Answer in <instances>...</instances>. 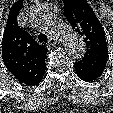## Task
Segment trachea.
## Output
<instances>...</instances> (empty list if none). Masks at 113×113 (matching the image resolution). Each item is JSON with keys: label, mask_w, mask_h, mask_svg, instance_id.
I'll return each instance as SVG.
<instances>
[{"label": "trachea", "mask_w": 113, "mask_h": 113, "mask_svg": "<svg viewBox=\"0 0 113 113\" xmlns=\"http://www.w3.org/2000/svg\"><path fill=\"white\" fill-rule=\"evenodd\" d=\"M38 40L40 43H47L48 38L45 34L41 33L38 35Z\"/></svg>", "instance_id": "1"}]
</instances>
